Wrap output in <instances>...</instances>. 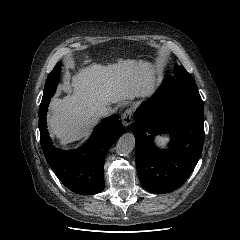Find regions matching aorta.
Listing matches in <instances>:
<instances>
[{
  "label": "aorta",
  "mask_w": 240,
  "mask_h": 240,
  "mask_svg": "<svg viewBox=\"0 0 240 240\" xmlns=\"http://www.w3.org/2000/svg\"><path fill=\"white\" fill-rule=\"evenodd\" d=\"M135 146V137L132 133L123 134L117 142L116 153L125 156L129 154Z\"/></svg>",
  "instance_id": "762f6f07"
}]
</instances>
